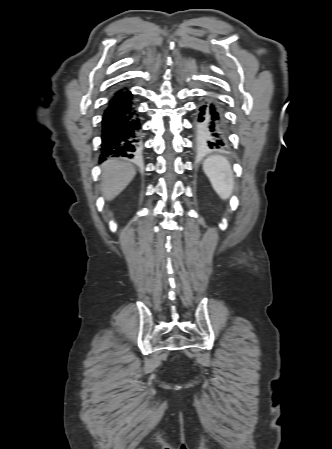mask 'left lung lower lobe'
Returning a JSON list of instances; mask_svg holds the SVG:
<instances>
[{
	"label": "left lung lower lobe",
	"mask_w": 332,
	"mask_h": 449,
	"mask_svg": "<svg viewBox=\"0 0 332 449\" xmlns=\"http://www.w3.org/2000/svg\"><path fill=\"white\" fill-rule=\"evenodd\" d=\"M194 130L199 152L227 147L225 120L217 99L205 96L201 101L196 111Z\"/></svg>",
	"instance_id": "0a47b994"
}]
</instances>
